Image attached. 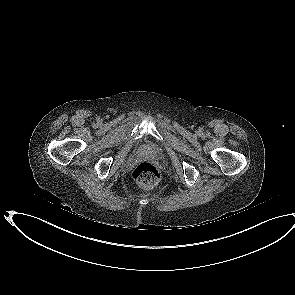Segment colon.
Returning <instances> with one entry per match:
<instances>
[{"label": "colon", "mask_w": 295, "mask_h": 295, "mask_svg": "<svg viewBox=\"0 0 295 295\" xmlns=\"http://www.w3.org/2000/svg\"><path fill=\"white\" fill-rule=\"evenodd\" d=\"M133 178L139 187L150 190L159 184L161 173L154 164L142 162L134 169Z\"/></svg>", "instance_id": "colon-1"}]
</instances>
